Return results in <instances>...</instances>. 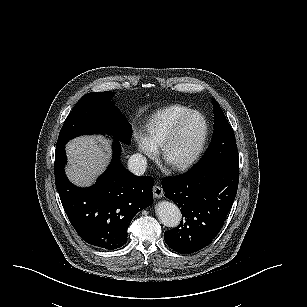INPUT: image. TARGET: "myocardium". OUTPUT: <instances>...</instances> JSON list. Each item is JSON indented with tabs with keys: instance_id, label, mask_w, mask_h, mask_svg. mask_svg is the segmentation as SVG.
I'll use <instances>...</instances> for the list:
<instances>
[{
	"instance_id": "1",
	"label": "myocardium",
	"mask_w": 307,
	"mask_h": 307,
	"mask_svg": "<svg viewBox=\"0 0 307 307\" xmlns=\"http://www.w3.org/2000/svg\"><path fill=\"white\" fill-rule=\"evenodd\" d=\"M195 117L199 122L195 123L194 132L200 133V140L198 142L197 148L194 154L183 161L172 160L169 155H167V150L170 147L168 144L175 137V134L179 131L182 135H189L193 131V124L187 120ZM178 127V129H177ZM207 137V125L205 123V118H203V112L199 108H189L186 113H183L180 118L176 119L172 128L168 129V134L163 137L162 143L158 145V148L154 152V159L157 165L162 169L167 170H180L189 167L199 156L202 149L204 148Z\"/></svg>"
}]
</instances>
